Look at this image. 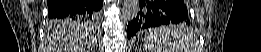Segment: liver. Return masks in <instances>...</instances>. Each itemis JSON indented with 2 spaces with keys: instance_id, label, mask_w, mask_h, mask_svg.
<instances>
[{
  "instance_id": "liver-1",
  "label": "liver",
  "mask_w": 261,
  "mask_h": 52,
  "mask_svg": "<svg viewBox=\"0 0 261 52\" xmlns=\"http://www.w3.org/2000/svg\"><path fill=\"white\" fill-rule=\"evenodd\" d=\"M88 32L83 27L75 29V25H61L49 23L47 27V40L53 48H58L57 52H86L84 45ZM90 50V49H88Z\"/></svg>"
}]
</instances>
